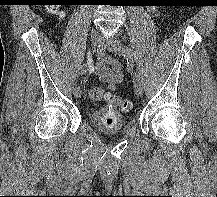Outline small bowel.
Masks as SVG:
<instances>
[{"instance_id": "obj_1", "label": "small bowel", "mask_w": 217, "mask_h": 197, "mask_svg": "<svg viewBox=\"0 0 217 197\" xmlns=\"http://www.w3.org/2000/svg\"><path fill=\"white\" fill-rule=\"evenodd\" d=\"M96 72L99 78L106 83L105 87H95L88 91L90 99L99 100L106 91H114L123 80L121 63L112 56L106 55L103 50L98 54Z\"/></svg>"}]
</instances>
